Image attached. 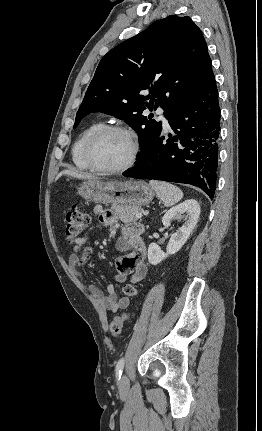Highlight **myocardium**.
<instances>
[{"mask_svg":"<svg viewBox=\"0 0 262 431\" xmlns=\"http://www.w3.org/2000/svg\"><path fill=\"white\" fill-rule=\"evenodd\" d=\"M110 132H120L125 134L130 139L132 144V151L127 162L122 166L116 167V168H107V167L101 166L94 159V148L97 141L103 135ZM139 153H140V141L136 133L131 128L125 125L113 124V125H104L89 137L84 150V158L88 166L93 171H96L102 174L113 175V174L123 173L126 170L130 169L136 163L139 157Z\"/></svg>","mask_w":262,"mask_h":431,"instance_id":"1","label":"myocardium"}]
</instances>
